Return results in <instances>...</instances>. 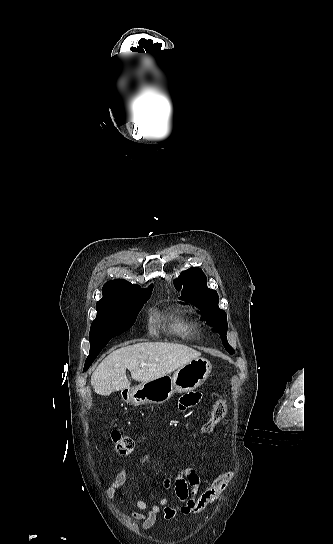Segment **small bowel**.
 Returning <instances> with one entry per match:
<instances>
[{
    "label": "small bowel",
    "mask_w": 333,
    "mask_h": 544,
    "mask_svg": "<svg viewBox=\"0 0 333 544\" xmlns=\"http://www.w3.org/2000/svg\"><path fill=\"white\" fill-rule=\"evenodd\" d=\"M201 399V393L190 392L185 394L179 401L178 408L181 412H186L196 406ZM148 455L144 456L141 462L147 461ZM234 474L224 472L218 474L206 489L201 488L200 478L194 469L186 468L182 470L174 479L172 485L179 501L178 507L169 506V500L162 497L157 504H148L144 500H136V511L128 513V516L136 521H141L143 528L152 527L157 519V515L162 511L167 519L173 518L177 514H197L212 504L225 491ZM129 477V467L123 466L111 485L106 489V496L109 499L114 498L118 490L126 483ZM171 481H165V487H169Z\"/></svg>",
    "instance_id": "c3829d8e"
}]
</instances>
